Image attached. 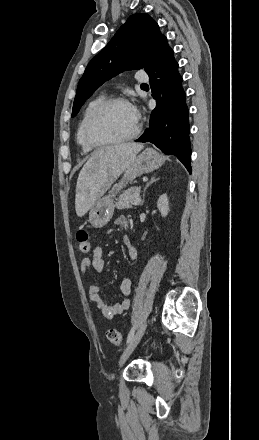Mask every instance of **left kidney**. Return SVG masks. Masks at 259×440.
Returning <instances> with one entry per match:
<instances>
[{
	"label": "left kidney",
	"instance_id": "1",
	"mask_svg": "<svg viewBox=\"0 0 259 440\" xmlns=\"http://www.w3.org/2000/svg\"><path fill=\"white\" fill-rule=\"evenodd\" d=\"M157 208L160 211L162 217H166L169 212V201L166 194H163L159 197L157 202Z\"/></svg>",
	"mask_w": 259,
	"mask_h": 440
}]
</instances>
